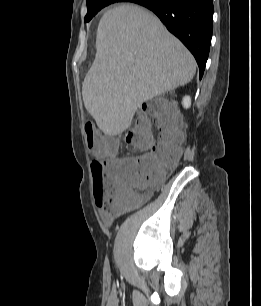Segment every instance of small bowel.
<instances>
[{"label": "small bowel", "instance_id": "obj_1", "mask_svg": "<svg viewBox=\"0 0 261 306\" xmlns=\"http://www.w3.org/2000/svg\"><path fill=\"white\" fill-rule=\"evenodd\" d=\"M112 159H114V157H107V158L102 160V163L105 164V165H110L112 163ZM150 194H151V192L148 191L142 196V198L147 199L150 196ZM100 217L103 220V222L106 223V224H110L114 219V215L112 213L108 212V211H101L100 212Z\"/></svg>", "mask_w": 261, "mask_h": 306}]
</instances>
